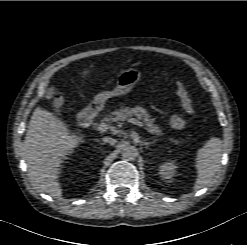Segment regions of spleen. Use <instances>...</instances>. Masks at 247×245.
<instances>
[{"instance_id": "3e777b00", "label": "spleen", "mask_w": 247, "mask_h": 245, "mask_svg": "<svg viewBox=\"0 0 247 245\" xmlns=\"http://www.w3.org/2000/svg\"><path fill=\"white\" fill-rule=\"evenodd\" d=\"M221 152L222 141L219 138H211L198 150L195 161L197 179L194 190L203 188L213 179L220 166Z\"/></svg>"}]
</instances>
